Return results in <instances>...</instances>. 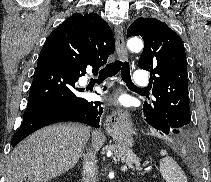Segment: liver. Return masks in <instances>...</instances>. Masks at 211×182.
Segmentation results:
<instances>
[{"mask_svg":"<svg viewBox=\"0 0 211 182\" xmlns=\"http://www.w3.org/2000/svg\"><path fill=\"white\" fill-rule=\"evenodd\" d=\"M90 128L80 124H58L40 129L12 151L7 163V182H48L69 171L82 156ZM105 143L100 131L92 133L98 151Z\"/></svg>","mask_w":211,"mask_h":182,"instance_id":"1","label":"liver"}]
</instances>
